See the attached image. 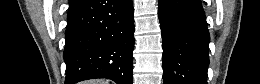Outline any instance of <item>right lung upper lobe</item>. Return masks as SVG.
<instances>
[{
  "instance_id": "right-lung-upper-lobe-1",
  "label": "right lung upper lobe",
  "mask_w": 260,
  "mask_h": 84,
  "mask_svg": "<svg viewBox=\"0 0 260 84\" xmlns=\"http://www.w3.org/2000/svg\"><path fill=\"white\" fill-rule=\"evenodd\" d=\"M80 0H70V6L75 5L76 3H78ZM69 6V7H70Z\"/></svg>"
}]
</instances>
